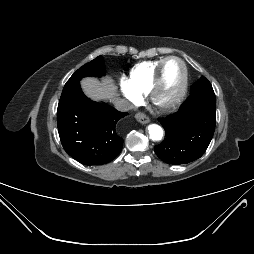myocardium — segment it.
Segmentation results:
<instances>
[{
  "label": "myocardium",
  "instance_id": "myocardium-1",
  "mask_svg": "<svg viewBox=\"0 0 254 254\" xmlns=\"http://www.w3.org/2000/svg\"><path fill=\"white\" fill-rule=\"evenodd\" d=\"M171 60L178 61L182 66L181 84L178 89V92L171 100H169L167 102H160L158 100V93H159V90H160L161 84H162L163 70H164L165 65ZM187 87H188V68H187L186 63L184 62L183 59H181L178 56H168V57L164 58L162 60V62L159 64V66L157 67L154 77H153V80H152V83H151V86H150L147 94H148L150 102L156 109H158L159 111H162V112H170V111L176 109L182 103V101L185 98L186 92H187Z\"/></svg>",
  "mask_w": 254,
  "mask_h": 254
}]
</instances>
